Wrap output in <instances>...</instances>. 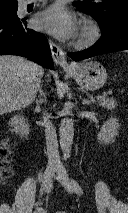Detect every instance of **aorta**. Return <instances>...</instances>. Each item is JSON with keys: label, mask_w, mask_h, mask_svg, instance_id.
Here are the masks:
<instances>
[{"label": "aorta", "mask_w": 128, "mask_h": 213, "mask_svg": "<svg viewBox=\"0 0 128 213\" xmlns=\"http://www.w3.org/2000/svg\"><path fill=\"white\" fill-rule=\"evenodd\" d=\"M71 105L66 103L61 111L60 123V147L64 158H68L71 152L74 136V120L70 117Z\"/></svg>", "instance_id": "762f6f07"}]
</instances>
